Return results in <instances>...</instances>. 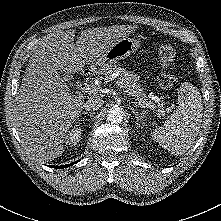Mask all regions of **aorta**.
Instances as JSON below:
<instances>
[{"label": "aorta", "instance_id": "aorta-1", "mask_svg": "<svg viewBox=\"0 0 221 221\" xmlns=\"http://www.w3.org/2000/svg\"><path fill=\"white\" fill-rule=\"evenodd\" d=\"M107 120L111 123H120L123 120V112L120 108H111L107 112Z\"/></svg>", "mask_w": 221, "mask_h": 221}]
</instances>
